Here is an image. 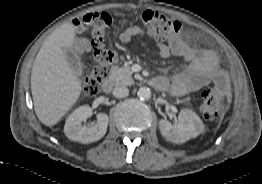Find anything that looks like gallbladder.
Instances as JSON below:
<instances>
[{
	"label": "gallbladder",
	"mask_w": 262,
	"mask_h": 184,
	"mask_svg": "<svg viewBox=\"0 0 262 184\" xmlns=\"http://www.w3.org/2000/svg\"><path fill=\"white\" fill-rule=\"evenodd\" d=\"M66 61L75 75H81L83 71V65L78 54L72 49L65 50Z\"/></svg>",
	"instance_id": "obj_1"
}]
</instances>
